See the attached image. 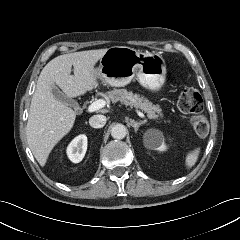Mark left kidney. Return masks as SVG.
Returning <instances> with one entry per match:
<instances>
[{
  "instance_id": "obj_1",
  "label": "left kidney",
  "mask_w": 240,
  "mask_h": 240,
  "mask_svg": "<svg viewBox=\"0 0 240 240\" xmlns=\"http://www.w3.org/2000/svg\"><path fill=\"white\" fill-rule=\"evenodd\" d=\"M144 144L151 150L164 151L166 149L163 134L158 130H149L144 136Z\"/></svg>"
}]
</instances>
